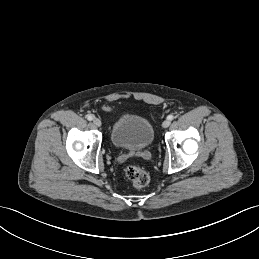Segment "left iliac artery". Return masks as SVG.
<instances>
[{"label": "left iliac artery", "mask_w": 259, "mask_h": 259, "mask_svg": "<svg viewBox=\"0 0 259 259\" xmlns=\"http://www.w3.org/2000/svg\"><path fill=\"white\" fill-rule=\"evenodd\" d=\"M167 119H168V120H173V119H174V116H173V115H169V116L167 117Z\"/></svg>", "instance_id": "left-iliac-artery-1"}]
</instances>
